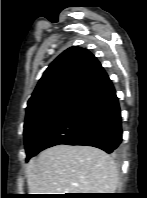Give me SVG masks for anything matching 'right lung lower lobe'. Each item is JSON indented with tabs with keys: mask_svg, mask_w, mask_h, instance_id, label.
<instances>
[{
	"mask_svg": "<svg viewBox=\"0 0 147 198\" xmlns=\"http://www.w3.org/2000/svg\"><path fill=\"white\" fill-rule=\"evenodd\" d=\"M122 141L121 113L115 89L107 76L80 98L44 137L35 155L52 146L88 145L117 154Z\"/></svg>",
	"mask_w": 147,
	"mask_h": 198,
	"instance_id": "1",
	"label": "right lung lower lobe"
}]
</instances>
